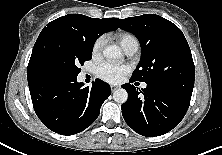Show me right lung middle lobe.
I'll list each match as a JSON object with an SVG mask.
<instances>
[{
    "instance_id": "obj_1",
    "label": "right lung middle lobe",
    "mask_w": 222,
    "mask_h": 155,
    "mask_svg": "<svg viewBox=\"0 0 222 155\" xmlns=\"http://www.w3.org/2000/svg\"><path fill=\"white\" fill-rule=\"evenodd\" d=\"M100 35L91 23L56 24L40 33L32 54L40 69L54 79L76 78L79 66L92 58L93 45Z\"/></svg>"
}]
</instances>
